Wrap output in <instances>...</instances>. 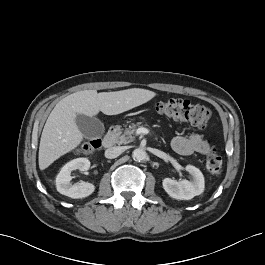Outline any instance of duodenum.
<instances>
[{"label":"duodenum","mask_w":265,"mask_h":265,"mask_svg":"<svg viewBox=\"0 0 265 265\" xmlns=\"http://www.w3.org/2000/svg\"><path fill=\"white\" fill-rule=\"evenodd\" d=\"M117 139L116 129H111L103 138L102 143L105 148H111L114 146Z\"/></svg>","instance_id":"1"}]
</instances>
